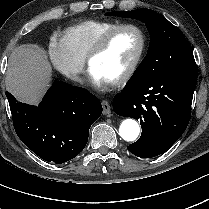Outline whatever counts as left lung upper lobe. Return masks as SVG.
Here are the masks:
<instances>
[{
  "mask_svg": "<svg viewBox=\"0 0 209 209\" xmlns=\"http://www.w3.org/2000/svg\"><path fill=\"white\" fill-rule=\"evenodd\" d=\"M106 15L141 20L150 34L146 57L132 76L155 78L189 64H195L193 52L181 30L159 13L141 8L108 12Z\"/></svg>",
  "mask_w": 209,
  "mask_h": 209,
  "instance_id": "obj_1",
  "label": "left lung upper lobe"
}]
</instances>
